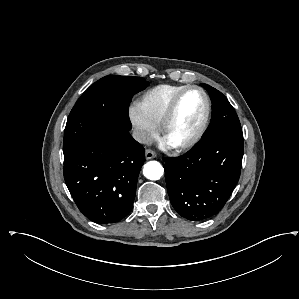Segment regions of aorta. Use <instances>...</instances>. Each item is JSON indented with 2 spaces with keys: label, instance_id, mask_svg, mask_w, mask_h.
<instances>
[{
  "label": "aorta",
  "instance_id": "aorta-1",
  "mask_svg": "<svg viewBox=\"0 0 299 299\" xmlns=\"http://www.w3.org/2000/svg\"><path fill=\"white\" fill-rule=\"evenodd\" d=\"M163 173L164 169L158 161H149L144 165L143 174L147 179L159 180Z\"/></svg>",
  "mask_w": 299,
  "mask_h": 299
}]
</instances>
